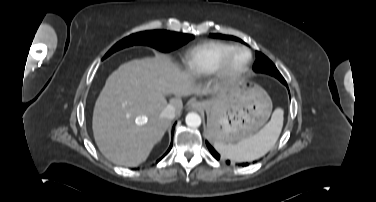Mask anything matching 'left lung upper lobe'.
<instances>
[{
    "label": "left lung upper lobe",
    "mask_w": 376,
    "mask_h": 202,
    "mask_svg": "<svg viewBox=\"0 0 376 202\" xmlns=\"http://www.w3.org/2000/svg\"><path fill=\"white\" fill-rule=\"evenodd\" d=\"M210 36L214 38L229 39V40L242 42L241 39L234 37V36H229V35L210 34ZM253 70L255 72H263V73L270 74L276 77L277 79H279L281 82L284 81L283 76L277 70L275 65L265 55H263L260 52H256V61L253 66Z\"/></svg>",
    "instance_id": "1"
}]
</instances>
